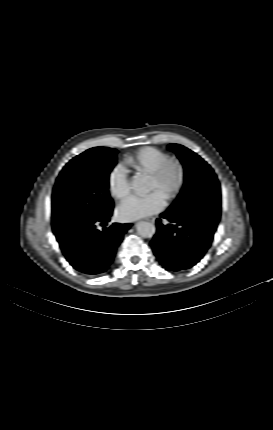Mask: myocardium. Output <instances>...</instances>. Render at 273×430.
<instances>
[{
  "label": "myocardium",
  "mask_w": 273,
  "mask_h": 430,
  "mask_svg": "<svg viewBox=\"0 0 273 430\" xmlns=\"http://www.w3.org/2000/svg\"><path fill=\"white\" fill-rule=\"evenodd\" d=\"M173 174V182L165 186L167 178ZM161 187L165 188V198L174 200L184 187L186 180V171L182 163L176 159L170 158L164 162L156 171L151 174Z\"/></svg>",
  "instance_id": "myocardium-1"
}]
</instances>
